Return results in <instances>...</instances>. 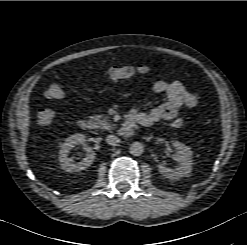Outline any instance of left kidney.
Listing matches in <instances>:
<instances>
[{"label":"left kidney","instance_id":"1","mask_svg":"<svg viewBox=\"0 0 247 245\" xmlns=\"http://www.w3.org/2000/svg\"><path fill=\"white\" fill-rule=\"evenodd\" d=\"M172 145L177 150V153L174 155V160L179 162V166L175 168H168L163 164H160L158 166V170L167 178L179 179L189 175L192 171V151L189 146H186L185 144L178 141H174Z\"/></svg>","mask_w":247,"mask_h":245}]
</instances>
